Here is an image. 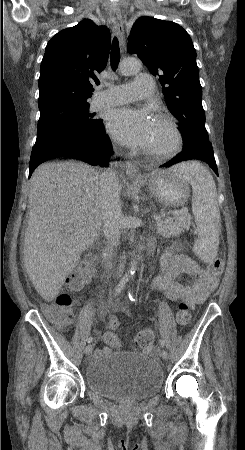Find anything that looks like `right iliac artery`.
Listing matches in <instances>:
<instances>
[{
	"label": "right iliac artery",
	"mask_w": 245,
	"mask_h": 450,
	"mask_svg": "<svg viewBox=\"0 0 245 450\" xmlns=\"http://www.w3.org/2000/svg\"><path fill=\"white\" fill-rule=\"evenodd\" d=\"M128 281V276L127 275H125L122 279H121V281L119 282V284H118V286L116 287V289H115V296L116 295H118L120 292H121V290L123 289V287L125 286V284H126V282ZM93 341V338L92 337H89L88 338V343H91Z\"/></svg>",
	"instance_id": "obj_1"
}]
</instances>
